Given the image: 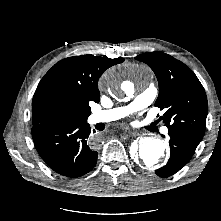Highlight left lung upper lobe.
<instances>
[{
    "label": "left lung upper lobe",
    "instance_id": "5c2ea615",
    "mask_svg": "<svg viewBox=\"0 0 221 221\" xmlns=\"http://www.w3.org/2000/svg\"><path fill=\"white\" fill-rule=\"evenodd\" d=\"M154 71L159 95L155 106L166 112L161 119L169 131H180L202 139L208 104L205 90L194 72L181 61L162 52L135 57Z\"/></svg>",
    "mask_w": 221,
    "mask_h": 221
}]
</instances>
